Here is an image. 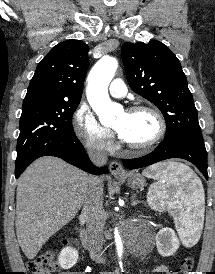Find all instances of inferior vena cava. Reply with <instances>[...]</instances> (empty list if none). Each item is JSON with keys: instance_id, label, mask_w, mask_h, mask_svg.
Wrapping results in <instances>:
<instances>
[{"instance_id": "1", "label": "inferior vena cava", "mask_w": 215, "mask_h": 274, "mask_svg": "<svg viewBox=\"0 0 215 274\" xmlns=\"http://www.w3.org/2000/svg\"><path fill=\"white\" fill-rule=\"evenodd\" d=\"M88 155L97 166L107 163V153L98 145L91 146L88 149ZM81 215L86 220L87 231L93 249L100 253L104 242L103 188L100 178L96 176L89 177Z\"/></svg>"}]
</instances>
